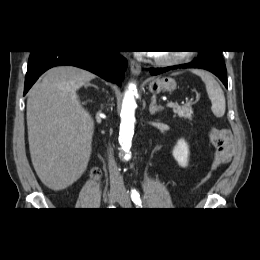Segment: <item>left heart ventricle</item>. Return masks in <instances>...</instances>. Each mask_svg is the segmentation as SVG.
Here are the masks:
<instances>
[{"instance_id": "b2bd125f", "label": "left heart ventricle", "mask_w": 260, "mask_h": 260, "mask_svg": "<svg viewBox=\"0 0 260 260\" xmlns=\"http://www.w3.org/2000/svg\"><path fill=\"white\" fill-rule=\"evenodd\" d=\"M155 55H157L159 57H170L172 55V53H169V52H158Z\"/></svg>"}]
</instances>
